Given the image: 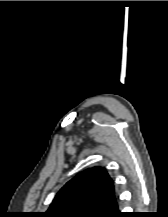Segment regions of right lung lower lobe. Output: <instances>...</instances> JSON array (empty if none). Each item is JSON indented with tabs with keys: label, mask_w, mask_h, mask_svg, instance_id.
I'll list each match as a JSON object with an SVG mask.
<instances>
[{
	"label": "right lung lower lobe",
	"mask_w": 168,
	"mask_h": 217,
	"mask_svg": "<svg viewBox=\"0 0 168 217\" xmlns=\"http://www.w3.org/2000/svg\"><path fill=\"white\" fill-rule=\"evenodd\" d=\"M110 217H127V215L125 213L117 211L114 214H112Z\"/></svg>",
	"instance_id": "98d812e1"
}]
</instances>
